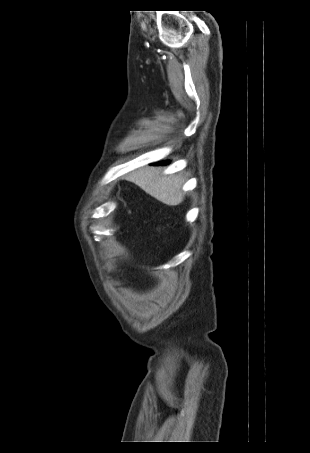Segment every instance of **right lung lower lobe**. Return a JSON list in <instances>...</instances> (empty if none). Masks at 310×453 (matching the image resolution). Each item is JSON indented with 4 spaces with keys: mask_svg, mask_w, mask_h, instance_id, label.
<instances>
[{
    "mask_svg": "<svg viewBox=\"0 0 310 453\" xmlns=\"http://www.w3.org/2000/svg\"><path fill=\"white\" fill-rule=\"evenodd\" d=\"M166 163H167V162H161V163H159V164H166Z\"/></svg>",
    "mask_w": 310,
    "mask_h": 453,
    "instance_id": "98d812e1",
    "label": "right lung lower lobe"
}]
</instances>
